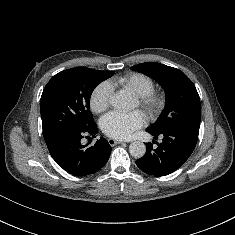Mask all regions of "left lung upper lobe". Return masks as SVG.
Segmentation results:
<instances>
[{
  "label": "left lung upper lobe",
  "instance_id": "obj_1",
  "mask_svg": "<svg viewBox=\"0 0 235 235\" xmlns=\"http://www.w3.org/2000/svg\"><path fill=\"white\" fill-rule=\"evenodd\" d=\"M131 69L156 80L166 93L165 109L147 130L156 134L177 128L199 130L200 98L192 81L182 71L156 62L137 64Z\"/></svg>",
  "mask_w": 235,
  "mask_h": 235
}]
</instances>
